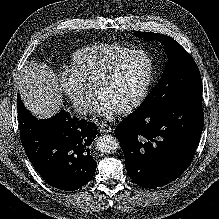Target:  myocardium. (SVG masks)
Wrapping results in <instances>:
<instances>
[{"label":"myocardium","instance_id":"1","mask_svg":"<svg viewBox=\"0 0 219 219\" xmlns=\"http://www.w3.org/2000/svg\"><path fill=\"white\" fill-rule=\"evenodd\" d=\"M142 54L144 55L148 60V70L145 75V78L140 86V89L138 90L137 94L134 96V98L127 103L126 105L122 106L118 109L119 113H128L134 110L145 98L149 87L152 83V79L155 72V61L151 53L145 49H132L128 51L127 53L121 55L119 58H117L105 71L104 73L99 77L97 83H96V91L98 93L99 89L105 85L112 76L116 73V71L119 69L121 64L127 60L128 58L137 55Z\"/></svg>","mask_w":219,"mask_h":219}]
</instances>
